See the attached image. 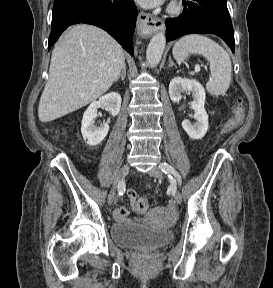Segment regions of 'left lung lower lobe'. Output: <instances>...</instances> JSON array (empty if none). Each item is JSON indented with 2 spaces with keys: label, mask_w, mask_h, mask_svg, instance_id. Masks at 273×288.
I'll return each mask as SVG.
<instances>
[{
  "label": "left lung lower lobe",
  "mask_w": 273,
  "mask_h": 288,
  "mask_svg": "<svg viewBox=\"0 0 273 288\" xmlns=\"http://www.w3.org/2000/svg\"><path fill=\"white\" fill-rule=\"evenodd\" d=\"M183 3V13L165 21L167 42L186 34L211 33L221 37L234 52V30L226 0H183Z\"/></svg>",
  "instance_id": "0a47b994"
}]
</instances>
